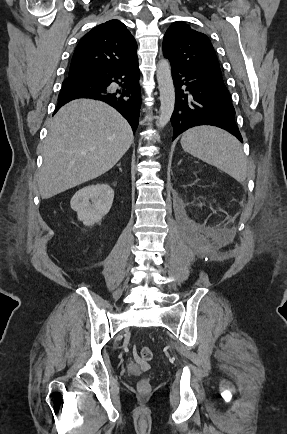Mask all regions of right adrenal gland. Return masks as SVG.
<instances>
[{
  "mask_svg": "<svg viewBox=\"0 0 287 434\" xmlns=\"http://www.w3.org/2000/svg\"><path fill=\"white\" fill-rule=\"evenodd\" d=\"M117 166H119V167H120V166H121V163L117 164ZM120 170H121V168H120Z\"/></svg>",
  "mask_w": 287,
  "mask_h": 434,
  "instance_id": "obj_1",
  "label": "right adrenal gland"
}]
</instances>
